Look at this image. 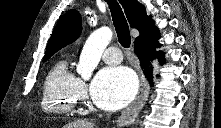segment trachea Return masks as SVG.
<instances>
[{
  "mask_svg": "<svg viewBox=\"0 0 221 128\" xmlns=\"http://www.w3.org/2000/svg\"><path fill=\"white\" fill-rule=\"evenodd\" d=\"M112 13L113 23L116 29L119 43L124 48H129L131 36L127 20L116 0H106Z\"/></svg>",
  "mask_w": 221,
  "mask_h": 128,
  "instance_id": "obj_1",
  "label": "trachea"
}]
</instances>
